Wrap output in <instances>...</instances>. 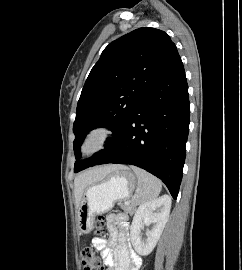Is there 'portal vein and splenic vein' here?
<instances>
[{"label": "portal vein and splenic vein", "instance_id": "obj_1", "mask_svg": "<svg viewBox=\"0 0 242 270\" xmlns=\"http://www.w3.org/2000/svg\"><path fill=\"white\" fill-rule=\"evenodd\" d=\"M130 202L129 201H126L125 204H129Z\"/></svg>", "mask_w": 242, "mask_h": 270}]
</instances>
